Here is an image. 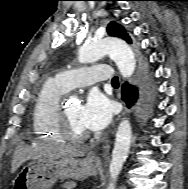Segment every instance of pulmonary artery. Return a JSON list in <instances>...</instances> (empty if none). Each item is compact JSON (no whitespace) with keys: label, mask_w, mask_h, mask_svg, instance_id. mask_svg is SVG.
Masks as SVG:
<instances>
[{"label":"pulmonary artery","mask_w":188,"mask_h":189,"mask_svg":"<svg viewBox=\"0 0 188 189\" xmlns=\"http://www.w3.org/2000/svg\"><path fill=\"white\" fill-rule=\"evenodd\" d=\"M113 71L107 64H97L88 68L65 70L55 76V80L66 90L86 87L94 83L111 81Z\"/></svg>","instance_id":"1"}]
</instances>
